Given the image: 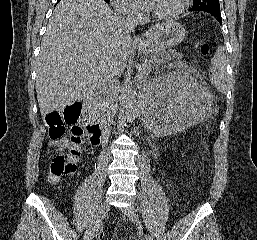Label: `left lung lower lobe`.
I'll return each instance as SVG.
<instances>
[{
  "label": "left lung lower lobe",
  "instance_id": "1",
  "mask_svg": "<svg viewBox=\"0 0 257 240\" xmlns=\"http://www.w3.org/2000/svg\"><path fill=\"white\" fill-rule=\"evenodd\" d=\"M192 11V10H191ZM204 12H207L209 14H211L214 18H216V20L221 24L222 19H221V13L220 11L217 10H203Z\"/></svg>",
  "mask_w": 257,
  "mask_h": 240
}]
</instances>
